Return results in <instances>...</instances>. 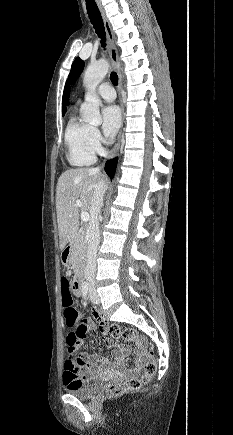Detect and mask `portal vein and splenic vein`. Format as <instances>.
Here are the masks:
<instances>
[{
	"instance_id": "1",
	"label": "portal vein and splenic vein",
	"mask_w": 233,
	"mask_h": 435,
	"mask_svg": "<svg viewBox=\"0 0 233 435\" xmlns=\"http://www.w3.org/2000/svg\"><path fill=\"white\" fill-rule=\"evenodd\" d=\"M76 205H77L78 207H81V206H82V202H81L80 200H77V201H76ZM81 220H82L83 222H88V221H89V214H88V212H82V213H81Z\"/></svg>"
}]
</instances>
